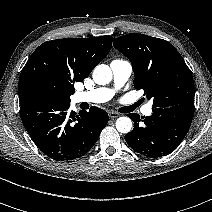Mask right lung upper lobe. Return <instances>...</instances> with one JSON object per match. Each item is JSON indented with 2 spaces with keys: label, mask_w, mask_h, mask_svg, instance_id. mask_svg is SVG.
Wrapping results in <instances>:
<instances>
[{
  "label": "right lung upper lobe",
  "mask_w": 212,
  "mask_h": 212,
  "mask_svg": "<svg viewBox=\"0 0 212 212\" xmlns=\"http://www.w3.org/2000/svg\"><path fill=\"white\" fill-rule=\"evenodd\" d=\"M112 36L64 38L41 44L22 69L18 93L20 106L46 93L69 103L74 83L82 82L107 56Z\"/></svg>",
  "instance_id": "cb5924a9"
}]
</instances>
